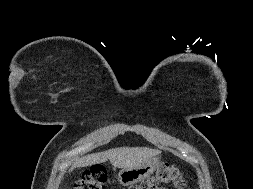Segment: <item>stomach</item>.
Wrapping results in <instances>:
<instances>
[{"label": "stomach", "mask_w": 253, "mask_h": 189, "mask_svg": "<svg viewBox=\"0 0 253 189\" xmlns=\"http://www.w3.org/2000/svg\"><path fill=\"white\" fill-rule=\"evenodd\" d=\"M159 162L158 158H151L139 166L123 168L118 174V181L123 186L136 184L153 174Z\"/></svg>", "instance_id": "0dacf381"}]
</instances>
